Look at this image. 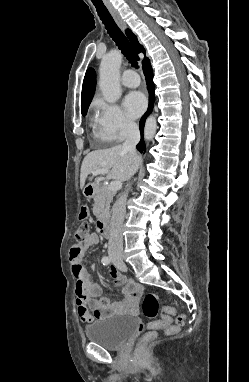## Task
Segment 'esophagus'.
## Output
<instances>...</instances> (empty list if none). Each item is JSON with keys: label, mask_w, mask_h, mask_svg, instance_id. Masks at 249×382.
<instances>
[{"label": "esophagus", "mask_w": 249, "mask_h": 382, "mask_svg": "<svg viewBox=\"0 0 249 382\" xmlns=\"http://www.w3.org/2000/svg\"><path fill=\"white\" fill-rule=\"evenodd\" d=\"M106 7L109 10L112 17L114 18L117 25L119 26V28L122 31H125V29L127 28V25L125 21L121 18L120 14L117 12V10L110 3H106Z\"/></svg>", "instance_id": "1"}]
</instances>
